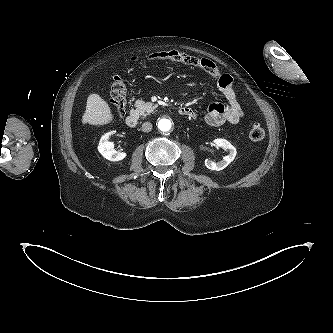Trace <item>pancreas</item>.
Returning <instances> with one entry per match:
<instances>
[{
    "mask_svg": "<svg viewBox=\"0 0 333 333\" xmlns=\"http://www.w3.org/2000/svg\"><path fill=\"white\" fill-rule=\"evenodd\" d=\"M135 107H136L137 112L141 116L146 117L157 107V105H154L151 102H144L143 100H137L135 102Z\"/></svg>",
    "mask_w": 333,
    "mask_h": 333,
    "instance_id": "pancreas-1",
    "label": "pancreas"
}]
</instances>
